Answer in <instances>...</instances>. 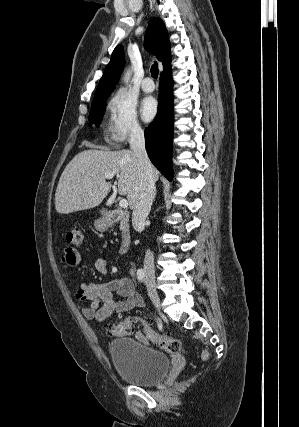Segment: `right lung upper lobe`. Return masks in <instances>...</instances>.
<instances>
[{
  "label": "right lung upper lobe",
  "instance_id": "1",
  "mask_svg": "<svg viewBox=\"0 0 299 427\" xmlns=\"http://www.w3.org/2000/svg\"><path fill=\"white\" fill-rule=\"evenodd\" d=\"M145 47L152 51L157 59L163 63L164 72L171 70L170 41L164 23L159 18L149 22L145 34ZM123 46H117L111 56L103 76L100 79L94 99L109 96L118 82L124 66Z\"/></svg>",
  "mask_w": 299,
  "mask_h": 427
}]
</instances>
